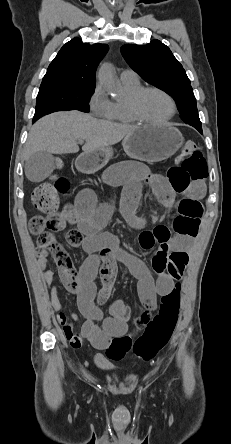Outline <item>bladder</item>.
<instances>
[{
	"label": "bladder",
	"mask_w": 231,
	"mask_h": 444,
	"mask_svg": "<svg viewBox=\"0 0 231 444\" xmlns=\"http://www.w3.org/2000/svg\"><path fill=\"white\" fill-rule=\"evenodd\" d=\"M95 364L97 368L101 371H109L112 369L111 363L102 354H97L95 356Z\"/></svg>",
	"instance_id": "bladder-1"
}]
</instances>
